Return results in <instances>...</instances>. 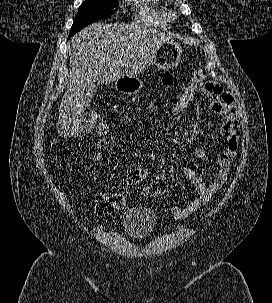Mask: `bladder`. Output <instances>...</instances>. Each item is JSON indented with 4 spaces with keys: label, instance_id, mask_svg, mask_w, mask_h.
I'll return each mask as SVG.
<instances>
[{
    "label": "bladder",
    "instance_id": "obj_1",
    "mask_svg": "<svg viewBox=\"0 0 272 303\" xmlns=\"http://www.w3.org/2000/svg\"><path fill=\"white\" fill-rule=\"evenodd\" d=\"M157 225L155 213L144 206L129 208L123 219V230L132 238L139 239L148 236Z\"/></svg>",
    "mask_w": 272,
    "mask_h": 303
}]
</instances>
